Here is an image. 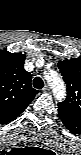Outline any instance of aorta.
I'll return each instance as SVG.
<instances>
[{"mask_svg": "<svg viewBox=\"0 0 81 155\" xmlns=\"http://www.w3.org/2000/svg\"><path fill=\"white\" fill-rule=\"evenodd\" d=\"M46 80L48 81L50 88L53 91L54 96L58 100H62L66 95V89L63 81L61 78L57 75L56 72L50 71L46 75Z\"/></svg>", "mask_w": 81, "mask_h": 155, "instance_id": "762f6f07", "label": "aorta"}]
</instances>
